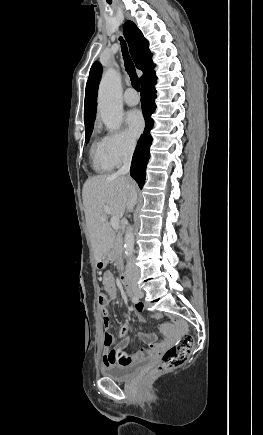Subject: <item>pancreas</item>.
<instances>
[{"mask_svg":"<svg viewBox=\"0 0 263 435\" xmlns=\"http://www.w3.org/2000/svg\"><path fill=\"white\" fill-rule=\"evenodd\" d=\"M122 253L123 248L121 246V236L117 234L115 236L114 242L112 244V247L109 251V259L117 265L119 269L123 267V261H122Z\"/></svg>","mask_w":263,"mask_h":435,"instance_id":"pancreas-1","label":"pancreas"}]
</instances>
